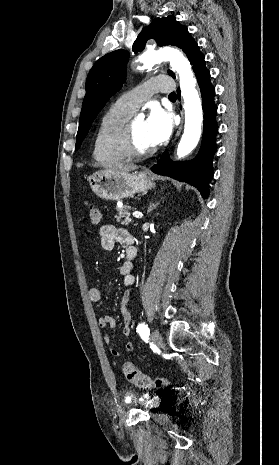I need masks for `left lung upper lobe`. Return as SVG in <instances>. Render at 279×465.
Here are the masks:
<instances>
[{"label": "left lung upper lobe", "mask_w": 279, "mask_h": 465, "mask_svg": "<svg viewBox=\"0 0 279 465\" xmlns=\"http://www.w3.org/2000/svg\"><path fill=\"white\" fill-rule=\"evenodd\" d=\"M149 39H154L159 46L174 45L181 48L192 66L202 55L187 27L176 21L174 16L156 18L149 26L144 27L133 44V52L143 50ZM128 57L129 53L126 50L110 52L97 60L90 70L86 80V95L80 114L76 149L80 147L106 101L125 83ZM168 73L175 77L170 70Z\"/></svg>", "instance_id": "obj_1"}]
</instances>
